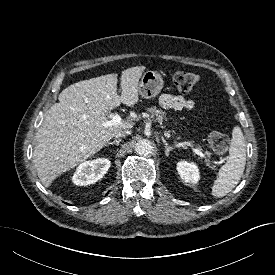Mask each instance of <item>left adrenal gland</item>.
Returning <instances> with one entry per match:
<instances>
[{
	"mask_svg": "<svg viewBox=\"0 0 275 275\" xmlns=\"http://www.w3.org/2000/svg\"><path fill=\"white\" fill-rule=\"evenodd\" d=\"M162 142L165 145V154H166V156H169V153L171 150H173V148L168 145V143L166 142V140L164 138H162Z\"/></svg>",
	"mask_w": 275,
	"mask_h": 275,
	"instance_id": "left-adrenal-gland-1",
	"label": "left adrenal gland"
}]
</instances>
